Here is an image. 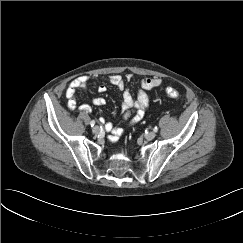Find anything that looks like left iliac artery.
<instances>
[{"label": "left iliac artery", "mask_w": 243, "mask_h": 243, "mask_svg": "<svg viewBox=\"0 0 243 243\" xmlns=\"http://www.w3.org/2000/svg\"><path fill=\"white\" fill-rule=\"evenodd\" d=\"M153 130H154V132H157L158 131V127L155 126Z\"/></svg>", "instance_id": "obj_1"}]
</instances>
